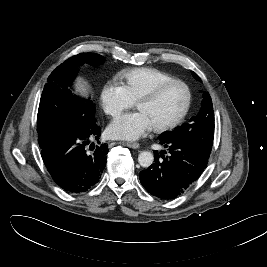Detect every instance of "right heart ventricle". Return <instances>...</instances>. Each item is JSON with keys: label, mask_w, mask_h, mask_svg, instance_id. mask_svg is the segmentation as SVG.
Segmentation results:
<instances>
[{"label": "right heart ventricle", "mask_w": 267, "mask_h": 267, "mask_svg": "<svg viewBox=\"0 0 267 267\" xmlns=\"http://www.w3.org/2000/svg\"><path fill=\"white\" fill-rule=\"evenodd\" d=\"M119 79L129 98L135 102L141 95L157 85L174 78L164 71L142 67L122 71L119 74Z\"/></svg>", "instance_id": "e07e8e85"}]
</instances>
